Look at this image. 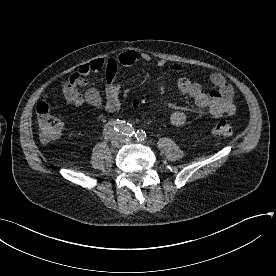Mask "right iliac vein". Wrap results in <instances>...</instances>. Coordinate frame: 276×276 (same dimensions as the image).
<instances>
[{
    "mask_svg": "<svg viewBox=\"0 0 276 276\" xmlns=\"http://www.w3.org/2000/svg\"><path fill=\"white\" fill-rule=\"evenodd\" d=\"M120 142V136L118 134H116L112 139H111V145L113 147H118Z\"/></svg>",
    "mask_w": 276,
    "mask_h": 276,
    "instance_id": "right-iliac-vein-1",
    "label": "right iliac vein"
}]
</instances>
